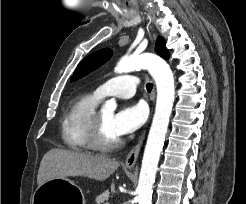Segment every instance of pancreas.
<instances>
[{
	"mask_svg": "<svg viewBox=\"0 0 246 204\" xmlns=\"http://www.w3.org/2000/svg\"><path fill=\"white\" fill-rule=\"evenodd\" d=\"M109 199V191H105L102 194L98 195L95 199L96 204H109L108 201ZM106 202V203H105Z\"/></svg>",
	"mask_w": 246,
	"mask_h": 204,
	"instance_id": "obj_1",
	"label": "pancreas"
}]
</instances>
